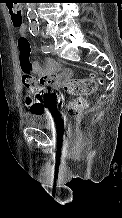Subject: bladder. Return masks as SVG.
I'll return each instance as SVG.
<instances>
[{
  "instance_id": "obj_1",
  "label": "bladder",
  "mask_w": 122,
  "mask_h": 218,
  "mask_svg": "<svg viewBox=\"0 0 122 218\" xmlns=\"http://www.w3.org/2000/svg\"><path fill=\"white\" fill-rule=\"evenodd\" d=\"M25 123L31 126L46 127L49 125V118L44 112H32L26 115Z\"/></svg>"
}]
</instances>
